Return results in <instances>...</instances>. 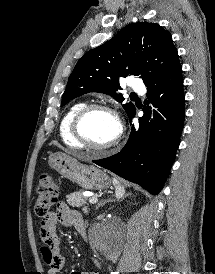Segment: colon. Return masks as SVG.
I'll return each instance as SVG.
<instances>
[{"label": "colon", "instance_id": "1", "mask_svg": "<svg viewBox=\"0 0 215 274\" xmlns=\"http://www.w3.org/2000/svg\"><path fill=\"white\" fill-rule=\"evenodd\" d=\"M59 195V186L52 176L44 173L40 176L37 187L35 214L45 219L51 213V208L56 204Z\"/></svg>", "mask_w": 215, "mask_h": 274}]
</instances>
